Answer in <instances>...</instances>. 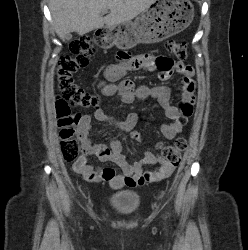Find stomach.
<instances>
[{"label":"stomach","instance_id":"obj_1","mask_svg":"<svg viewBox=\"0 0 248 250\" xmlns=\"http://www.w3.org/2000/svg\"><path fill=\"white\" fill-rule=\"evenodd\" d=\"M194 17L189 0H157V4L142 12L134 21L107 27L104 44L128 50L138 44L161 42L186 29Z\"/></svg>","mask_w":248,"mask_h":250}]
</instances>
